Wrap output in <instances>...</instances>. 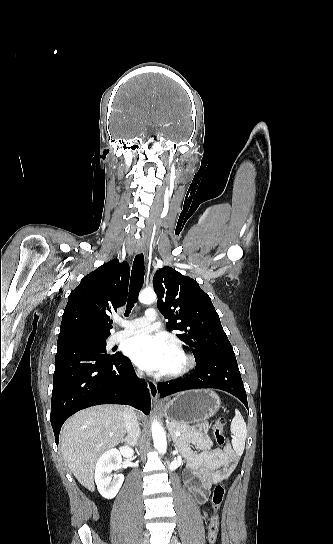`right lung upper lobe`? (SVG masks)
I'll list each match as a JSON object with an SVG mask.
<instances>
[{"label": "right lung upper lobe", "instance_id": "right-lung-upper-lobe-1", "mask_svg": "<svg viewBox=\"0 0 333 544\" xmlns=\"http://www.w3.org/2000/svg\"><path fill=\"white\" fill-rule=\"evenodd\" d=\"M129 273L127 262L114 259L81 280L68 297L57 348L110 336L109 314L126 301Z\"/></svg>", "mask_w": 333, "mask_h": 544}]
</instances>
